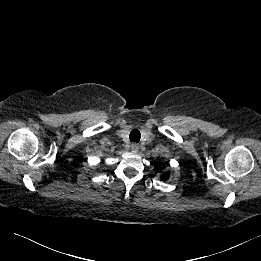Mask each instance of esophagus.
<instances>
[{"mask_svg": "<svg viewBox=\"0 0 261 261\" xmlns=\"http://www.w3.org/2000/svg\"><path fill=\"white\" fill-rule=\"evenodd\" d=\"M138 150H139V144H138V143H132V144H131V151H132L133 153H137Z\"/></svg>", "mask_w": 261, "mask_h": 261, "instance_id": "obj_1", "label": "esophagus"}]
</instances>
